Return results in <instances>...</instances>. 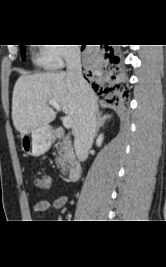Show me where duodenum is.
<instances>
[{
    "instance_id": "duodenum-1",
    "label": "duodenum",
    "mask_w": 166,
    "mask_h": 267,
    "mask_svg": "<svg viewBox=\"0 0 166 267\" xmlns=\"http://www.w3.org/2000/svg\"><path fill=\"white\" fill-rule=\"evenodd\" d=\"M65 136V133L62 129L58 128L54 131V137L55 138H58V139H61ZM82 170H83V167L82 165L79 163V162H74L69 170H68V179L70 181H75L77 180L81 173H82Z\"/></svg>"
}]
</instances>
